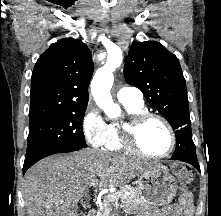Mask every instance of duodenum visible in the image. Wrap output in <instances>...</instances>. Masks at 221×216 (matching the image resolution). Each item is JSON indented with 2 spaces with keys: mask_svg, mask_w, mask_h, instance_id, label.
Masks as SVG:
<instances>
[{
  "mask_svg": "<svg viewBox=\"0 0 221 216\" xmlns=\"http://www.w3.org/2000/svg\"><path fill=\"white\" fill-rule=\"evenodd\" d=\"M87 216H94V212L90 211Z\"/></svg>",
  "mask_w": 221,
  "mask_h": 216,
  "instance_id": "1",
  "label": "duodenum"
}]
</instances>
